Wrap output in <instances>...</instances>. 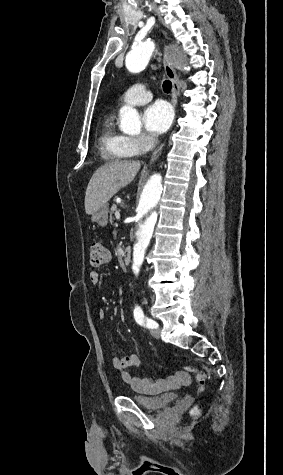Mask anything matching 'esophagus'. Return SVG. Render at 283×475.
Listing matches in <instances>:
<instances>
[{"instance_id":"obj_1","label":"esophagus","mask_w":283,"mask_h":475,"mask_svg":"<svg viewBox=\"0 0 283 475\" xmlns=\"http://www.w3.org/2000/svg\"><path fill=\"white\" fill-rule=\"evenodd\" d=\"M164 68H165V73L167 77L172 82V103L173 105H176L177 98L180 95V86H179L177 74L174 68L172 67L171 63L169 62L166 52L164 54ZM164 145L165 144L161 145L157 150H155V152L152 154V157L150 159V163H152L159 157V155L161 154L164 148Z\"/></svg>"}]
</instances>
